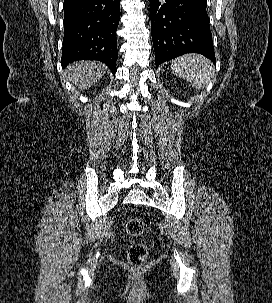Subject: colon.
Wrapping results in <instances>:
<instances>
[{
    "label": "colon",
    "instance_id": "1",
    "mask_svg": "<svg viewBox=\"0 0 272 303\" xmlns=\"http://www.w3.org/2000/svg\"><path fill=\"white\" fill-rule=\"evenodd\" d=\"M126 231L133 238H142L145 234L144 221L139 217H132L126 224ZM148 246L144 241H139L131 244L127 251L128 260L134 267H141L147 256Z\"/></svg>",
    "mask_w": 272,
    "mask_h": 303
}]
</instances>
